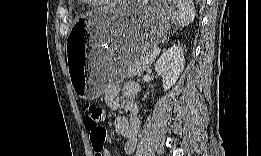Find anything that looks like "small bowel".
<instances>
[{"instance_id": "c3829d8e", "label": "small bowel", "mask_w": 261, "mask_h": 156, "mask_svg": "<svg viewBox=\"0 0 261 156\" xmlns=\"http://www.w3.org/2000/svg\"><path fill=\"white\" fill-rule=\"evenodd\" d=\"M139 92V85L135 82H128L122 88V93L126 99L125 112L126 115H119L115 119V129L118 134L126 138L124 144V153L132 155L135 152L138 133L140 130V120L138 118V106L133 98ZM107 106L111 110H117L120 107L118 99L115 97L113 91H108L105 95ZM105 141L110 142V138L106 134ZM98 156H109L110 152L104 146L97 154Z\"/></svg>"}]
</instances>
